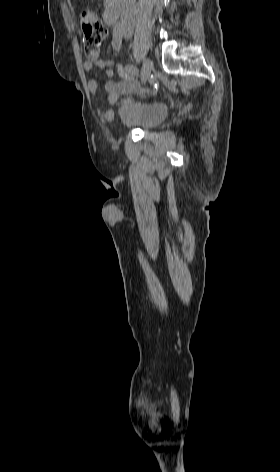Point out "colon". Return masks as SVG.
<instances>
[{"mask_svg":"<svg viewBox=\"0 0 280 472\" xmlns=\"http://www.w3.org/2000/svg\"><path fill=\"white\" fill-rule=\"evenodd\" d=\"M80 25L83 31L84 52L89 58H93L98 54L101 43L108 35V30L90 9L81 10Z\"/></svg>","mask_w":280,"mask_h":472,"instance_id":"colon-1","label":"colon"}]
</instances>
